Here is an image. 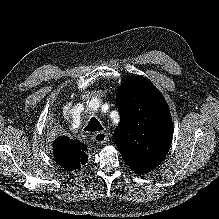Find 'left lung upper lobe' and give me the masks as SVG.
Here are the masks:
<instances>
[{
    "label": "left lung upper lobe",
    "instance_id": "1",
    "mask_svg": "<svg viewBox=\"0 0 219 219\" xmlns=\"http://www.w3.org/2000/svg\"><path fill=\"white\" fill-rule=\"evenodd\" d=\"M120 123L115 142L125 163L137 174L157 167L172 141V119L168 105L148 80L131 77L117 90Z\"/></svg>",
    "mask_w": 219,
    "mask_h": 219
}]
</instances>
